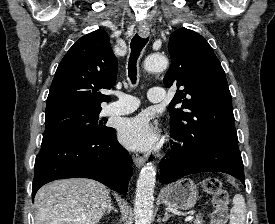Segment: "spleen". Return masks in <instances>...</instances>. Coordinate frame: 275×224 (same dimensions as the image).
<instances>
[{"label":"spleen","instance_id":"3e777b00","mask_svg":"<svg viewBox=\"0 0 275 224\" xmlns=\"http://www.w3.org/2000/svg\"><path fill=\"white\" fill-rule=\"evenodd\" d=\"M246 216L245 199L241 194H236L233 198V207L230 211L229 224H244Z\"/></svg>","mask_w":275,"mask_h":224}]
</instances>
